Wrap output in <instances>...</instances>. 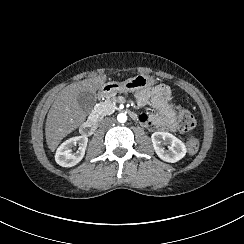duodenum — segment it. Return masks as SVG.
<instances>
[{"label": "duodenum", "instance_id": "obj_1", "mask_svg": "<svg viewBox=\"0 0 244 244\" xmlns=\"http://www.w3.org/2000/svg\"><path fill=\"white\" fill-rule=\"evenodd\" d=\"M96 97L97 98H102L103 97V92L102 91H97L96 92ZM130 115L132 117H135L134 113L133 112H130ZM98 121H99V115L98 114H93L82 126H81V133L82 135L84 136H89L91 134H93V132L95 131L96 127H97V124H98Z\"/></svg>", "mask_w": 244, "mask_h": 244}]
</instances>
